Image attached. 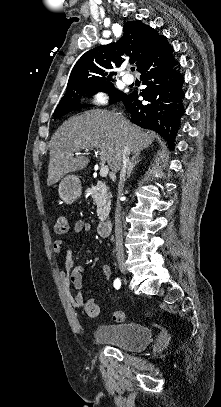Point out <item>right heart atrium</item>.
<instances>
[{
    "instance_id": "1",
    "label": "right heart atrium",
    "mask_w": 221,
    "mask_h": 407,
    "mask_svg": "<svg viewBox=\"0 0 221 407\" xmlns=\"http://www.w3.org/2000/svg\"><path fill=\"white\" fill-rule=\"evenodd\" d=\"M109 101V95L104 91H95L91 96V102L96 106H104Z\"/></svg>"
}]
</instances>
